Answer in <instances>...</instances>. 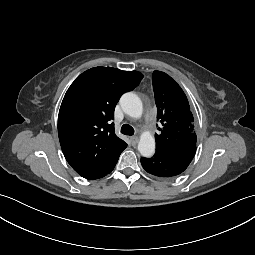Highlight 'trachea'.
I'll return each mask as SVG.
<instances>
[{
    "instance_id": "1",
    "label": "trachea",
    "mask_w": 255,
    "mask_h": 255,
    "mask_svg": "<svg viewBox=\"0 0 255 255\" xmlns=\"http://www.w3.org/2000/svg\"><path fill=\"white\" fill-rule=\"evenodd\" d=\"M121 133L124 134V135H133L134 134V129L133 127H131L130 125L128 124H124L122 127H121Z\"/></svg>"
}]
</instances>
